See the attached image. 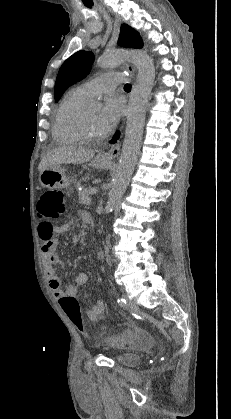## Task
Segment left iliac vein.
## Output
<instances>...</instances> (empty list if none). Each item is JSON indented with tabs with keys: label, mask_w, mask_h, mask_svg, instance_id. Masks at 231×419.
Listing matches in <instances>:
<instances>
[{
	"label": "left iliac vein",
	"mask_w": 231,
	"mask_h": 419,
	"mask_svg": "<svg viewBox=\"0 0 231 419\" xmlns=\"http://www.w3.org/2000/svg\"><path fill=\"white\" fill-rule=\"evenodd\" d=\"M125 299L127 300V308L131 311H137L138 305L135 301L131 300L128 296H125Z\"/></svg>",
	"instance_id": "obj_1"
}]
</instances>
